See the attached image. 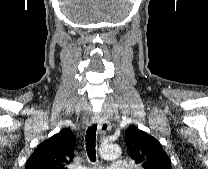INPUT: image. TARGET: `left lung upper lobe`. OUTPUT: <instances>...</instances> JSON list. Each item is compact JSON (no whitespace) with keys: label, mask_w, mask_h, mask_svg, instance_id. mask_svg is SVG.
Instances as JSON below:
<instances>
[{"label":"left lung upper lobe","mask_w":208,"mask_h":169,"mask_svg":"<svg viewBox=\"0 0 208 169\" xmlns=\"http://www.w3.org/2000/svg\"><path fill=\"white\" fill-rule=\"evenodd\" d=\"M125 142L132 159L144 169H172L160 142L135 125L125 131Z\"/></svg>","instance_id":"5c2ea615"}]
</instances>
